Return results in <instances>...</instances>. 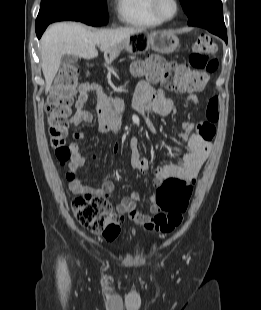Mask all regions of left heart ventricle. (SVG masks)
<instances>
[{
	"mask_svg": "<svg viewBox=\"0 0 261 310\" xmlns=\"http://www.w3.org/2000/svg\"><path fill=\"white\" fill-rule=\"evenodd\" d=\"M159 10L164 16H171L175 11L172 0H159Z\"/></svg>",
	"mask_w": 261,
	"mask_h": 310,
	"instance_id": "obj_1",
	"label": "left heart ventricle"
}]
</instances>
